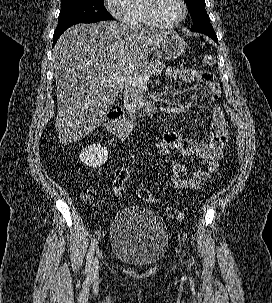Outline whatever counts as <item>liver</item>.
Listing matches in <instances>:
<instances>
[{
	"label": "liver",
	"instance_id": "1",
	"mask_svg": "<svg viewBox=\"0 0 272 303\" xmlns=\"http://www.w3.org/2000/svg\"><path fill=\"white\" fill-rule=\"evenodd\" d=\"M167 35L116 21L77 24L61 35L53 58L55 127L63 144L74 143L100 126L119 91V83L102 79L131 75L146 67L148 56Z\"/></svg>",
	"mask_w": 272,
	"mask_h": 303
}]
</instances>
